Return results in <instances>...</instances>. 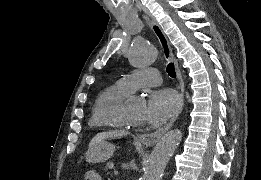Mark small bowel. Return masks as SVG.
<instances>
[{"label": "small bowel", "instance_id": "c3829d8e", "mask_svg": "<svg viewBox=\"0 0 261 180\" xmlns=\"http://www.w3.org/2000/svg\"><path fill=\"white\" fill-rule=\"evenodd\" d=\"M86 180H99V175L95 170H88L85 173Z\"/></svg>", "mask_w": 261, "mask_h": 180}]
</instances>
